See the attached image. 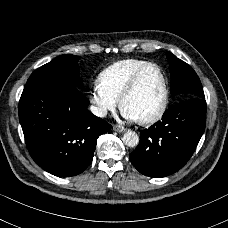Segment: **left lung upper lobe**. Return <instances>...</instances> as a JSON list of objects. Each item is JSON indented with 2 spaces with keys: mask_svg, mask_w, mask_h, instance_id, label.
<instances>
[{
  "mask_svg": "<svg viewBox=\"0 0 228 228\" xmlns=\"http://www.w3.org/2000/svg\"><path fill=\"white\" fill-rule=\"evenodd\" d=\"M166 56L170 64L171 94H185L186 99H205L202 84L193 68L170 52H166Z\"/></svg>",
  "mask_w": 228,
  "mask_h": 228,
  "instance_id": "obj_1",
  "label": "left lung upper lobe"
}]
</instances>
